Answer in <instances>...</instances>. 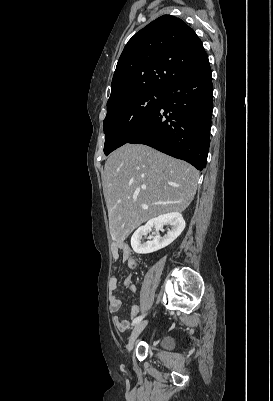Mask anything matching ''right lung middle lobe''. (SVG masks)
I'll list each match as a JSON object with an SVG mask.
<instances>
[{"instance_id":"obj_1","label":"right lung middle lobe","mask_w":273,"mask_h":401,"mask_svg":"<svg viewBox=\"0 0 273 401\" xmlns=\"http://www.w3.org/2000/svg\"><path fill=\"white\" fill-rule=\"evenodd\" d=\"M163 94L159 90L142 91L107 105V115L103 121L105 155L127 143L158 108Z\"/></svg>"}]
</instances>
